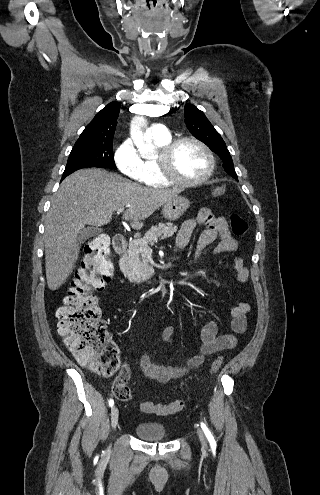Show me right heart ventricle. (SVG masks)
<instances>
[{"label":"right heart ventricle","mask_w":320,"mask_h":495,"mask_svg":"<svg viewBox=\"0 0 320 495\" xmlns=\"http://www.w3.org/2000/svg\"><path fill=\"white\" fill-rule=\"evenodd\" d=\"M150 139L160 149L164 145H166L167 143H169L171 141V138L170 137L165 138V139L151 137ZM143 164H144V168H145V171H146V181H145V183L148 186L155 187V188H162V187H167V186L171 185V183L169 181H167L161 175V173L159 171L158 164H157L156 157L146 158L143 161Z\"/></svg>","instance_id":"right-heart-ventricle-1"}]
</instances>
